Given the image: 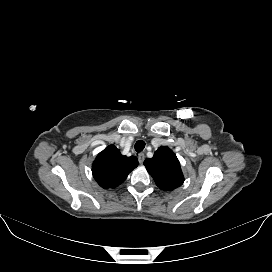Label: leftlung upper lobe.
I'll return each mask as SVG.
<instances>
[{
    "label": "left lung upper lobe",
    "instance_id": "left-lung-upper-lobe-1",
    "mask_svg": "<svg viewBox=\"0 0 272 272\" xmlns=\"http://www.w3.org/2000/svg\"><path fill=\"white\" fill-rule=\"evenodd\" d=\"M144 165L153 177L156 185L164 191H172L184 182L180 163L171 149L161 146Z\"/></svg>",
    "mask_w": 272,
    "mask_h": 272
}]
</instances>
